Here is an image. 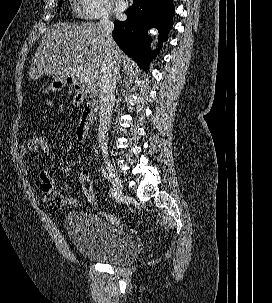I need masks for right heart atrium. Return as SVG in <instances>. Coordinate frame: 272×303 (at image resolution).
<instances>
[{"label":"right heart atrium","mask_w":272,"mask_h":303,"mask_svg":"<svg viewBox=\"0 0 272 303\" xmlns=\"http://www.w3.org/2000/svg\"><path fill=\"white\" fill-rule=\"evenodd\" d=\"M78 6L86 19L104 20L110 15V0H78Z\"/></svg>","instance_id":"right-heart-atrium-1"}]
</instances>
